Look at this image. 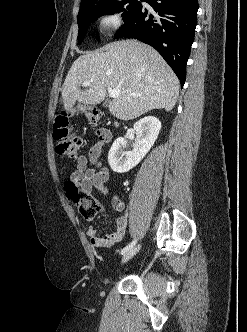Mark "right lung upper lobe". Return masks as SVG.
<instances>
[{
	"mask_svg": "<svg viewBox=\"0 0 247 332\" xmlns=\"http://www.w3.org/2000/svg\"><path fill=\"white\" fill-rule=\"evenodd\" d=\"M100 1H103V0H81L80 10L84 9L86 7H89V6L93 5V4H96V3L100 2Z\"/></svg>",
	"mask_w": 247,
	"mask_h": 332,
	"instance_id": "cb5924a9",
	"label": "right lung upper lobe"
}]
</instances>
